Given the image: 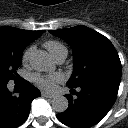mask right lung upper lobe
Here are the masks:
<instances>
[{"mask_svg":"<svg viewBox=\"0 0 128 128\" xmlns=\"http://www.w3.org/2000/svg\"><path fill=\"white\" fill-rule=\"evenodd\" d=\"M44 30L28 31L14 27H0V42L26 47L43 34Z\"/></svg>","mask_w":128,"mask_h":128,"instance_id":"right-lung-upper-lobe-1","label":"right lung upper lobe"}]
</instances>
